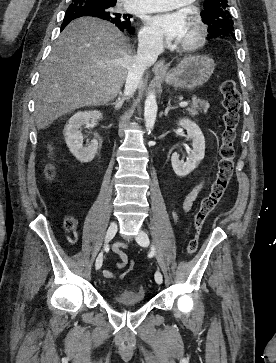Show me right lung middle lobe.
<instances>
[{
	"label": "right lung middle lobe",
	"instance_id": "right-lung-middle-lobe-1",
	"mask_svg": "<svg viewBox=\"0 0 276 363\" xmlns=\"http://www.w3.org/2000/svg\"><path fill=\"white\" fill-rule=\"evenodd\" d=\"M116 3L104 2L99 0H72L71 5L68 7L66 13H71L76 10H86L98 15L104 20H117L123 22H130L126 15L117 14L112 11Z\"/></svg>",
	"mask_w": 276,
	"mask_h": 363
}]
</instances>
